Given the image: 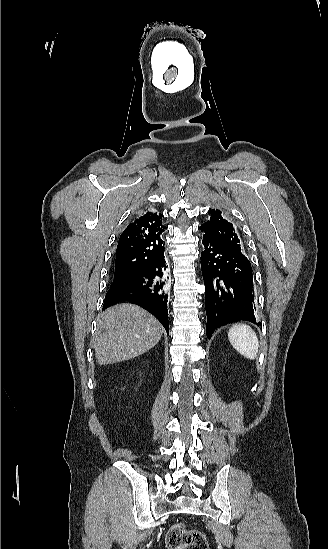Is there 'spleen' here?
<instances>
[{"label": "spleen", "instance_id": "3e777b00", "mask_svg": "<svg viewBox=\"0 0 328 549\" xmlns=\"http://www.w3.org/2000/svg\"><path fill=\"white\" fill-rule=\"evenodd\" d=\"M228 339L240 355H243L246 359H251V361L256 359L259 341L255 331L249 325H242V323L233 325L228 331Z\"/></svg>", "mask_w": 328, "mask_h": 549}]
</instances>
